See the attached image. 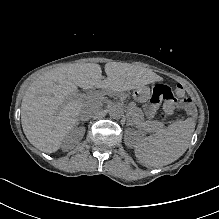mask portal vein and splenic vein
I'll list each match as a JSON object with an SVG mask.
<instances>
[{
    "mask_svg": "<svg viewBox=\"0 0 219 219\" xmlns=\"http://www.w3.org/2000/svg\"><path fill=\"white\" fill-rule=\"evenodd\" d=\"M90 97H91V95H87V94L82 95V98H84V99H89Z\"/></svg>",
    "mask_w": 219,
    "mask_h": 219,
    "instance_id": "portal-vein-and-splenic-vein-1",
    "label": "portal vein and splenic vein"
}]
</instances>
